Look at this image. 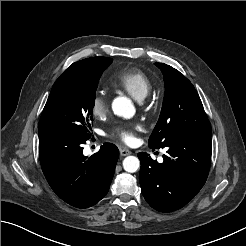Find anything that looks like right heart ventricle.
I'll use <instances>...</instances> for the list:
<instances>
[{
    "instance_id": "1",
    "label": "right heart ventricle",
    "mask_w": 246,
    "mask_h": 246,
    "mask_svg": "<svg viewBox=\"0 0 246 246\" xmlns=\"http://www.w3.org/2000/svg\"><path fill=\"white\" fill-rule=\"evenodd\" d=\"M113 86L130 94L134 99L141 101L152 90V82L147 74L139 69H126L113 76Z\"/></svg>"
}]
</instances>
